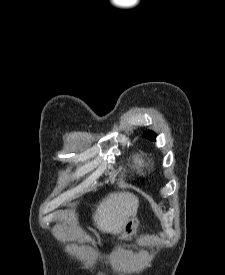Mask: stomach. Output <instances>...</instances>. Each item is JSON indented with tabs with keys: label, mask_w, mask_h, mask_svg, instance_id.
<instances>
[{
	"label": "stomach",
	"mask_w": 225,
	"mask_h": 275,
	"mask_svg": "<svg viewBox=\"0 0 225 275\" xmlns=\"http://www.w3.org/2000/svg\"><path fill=\"white\" fill-rule=\"evenodd\" d=\"M139 226V220L136 218V216H132L128 219L126 224L123 226V228L118 232L120 234V238L122 239H129L134 234H136L137 228Z\"/></svg>",
	"instance_id": "0dacf381"
}]
</instances>
